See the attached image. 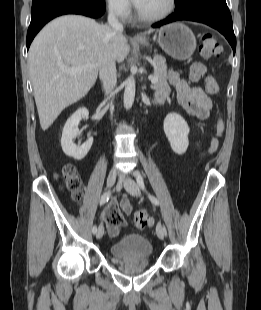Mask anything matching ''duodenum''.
Masks as SVG:
<instances>
[{
	"label": "duodenum",
	"instance_id": "1",
	"mask_svg": "<svg viewBox=\"0 0 261 310\" xmlns=\"http://www.w3.org/2000/svg\"><path fill=\"white\" fill-rule=\"evenodd\" d=\"M162 100L158 99V102H161Z\"/></svg>",
	"mask_w": 261,
	"mask_h": 310
}]
</instances>
